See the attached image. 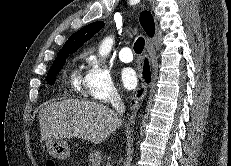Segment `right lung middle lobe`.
<instances>
[{"label": "right lung middle lobe", "mask_w": 231, "mask_h": 166, "mask_svg": "<svg viewBox=\"0 0 231 166\" xmlns=\"http://www.w3.org/2000/svg\"><path fill=\"white\" fill-rule=\"evenodd\" d=\"M69 56V54H63L56 57V59L53 62V65L51 66L48 74H47V82L50 85H53L56 79V75L60 71V69L63 67L66 58Z\"/></svg>", "instance_id": "dd1d6c3e"}]
</instances>
